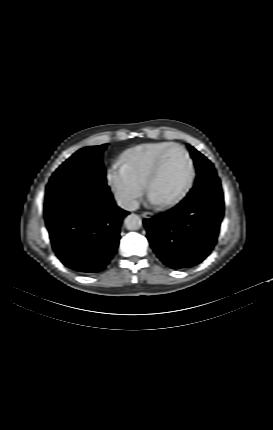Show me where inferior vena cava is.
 Masks as SVG:
<instances>
[{
	"label": "inferior vena cava",
	"instance_id": "inferior-vena-cava-1",
	"mask_svg": "<svg viewBox=\"0 0 273 430\" xmlns=\"http://www.w3.org/2000/svg\"><path fill=\"white\" fill-rule=\"evenodd\" d=\"M117 203L118 206L128 211L136 210L139 207V203L130 198H118Z\"/></svg>",
	"mask_w": 273,
	"mask_h": 430
}]
</instances>
